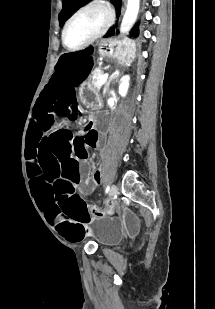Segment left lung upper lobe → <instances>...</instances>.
<instances>
[{
  "instance_id": "5c2ea615",
  "label": "left lung upper lobe",
  "mask_w": 215,
  "mask_h": 309,
  "mask_svg": "<svg viewBox=\"0 0 215 309\" xmlns=\"http://www.w3.org/2000/svg\"><path fill=\"white\" fill-rule=\"evenodd\" d=\"M88 0H63V10L60 13V25H63V23L65 22V20H67V18L84 2H86ZM115 7H116V14L117 17L120 15V11H121V4H122V0H111ZM115 34L114 29H111V31L106 35L108 36H112ZM130 34L134 37H137L139 35V30H138V24H136Z\"/></svg>"
}]
</instances>
